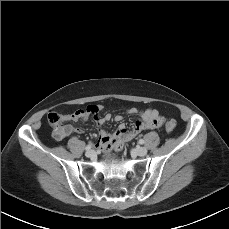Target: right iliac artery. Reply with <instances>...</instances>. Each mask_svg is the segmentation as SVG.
Returning a JSON list of instances; mask_svg holds the SVG:
<instances>
[{
  "label": "right iliac artery",
  "mask_w": 229,
  "mask_h": 229,
  "mask_svg": "<svg viewBox=\"0 0 229 229\" xmlns=\"http://www.w3.org/2000/svg\"><path fill=\"white\" fill-rule=\"evenodd\" d=\"M93 147V144L92 143H89L86 147H85V150H90L91 148Z\"/></svg>",
  "instance_id": "82829eb1"
}]
</instances>
